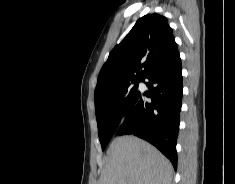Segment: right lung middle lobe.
<instances>
[{
	"instance_id": "dd1d6c3e",
	"label": "right lung middle lobe",
	"mask_w": 235,
	"mask_h": 184,
	"mask_svg": "<svg viewBox=\"0 0 235 184\" xmlns=\"http://www.w3.org/2000/svg\"><path fill=\"white\" fill-rule=\"evenodd\" d=\"M141 81L138 80L111 88L109 90L111 102L105 106L95 107L98 135L102 150L106 148L108 142L115 134L119 119L126 114L129 106L139 94L138 83Z\"/></svg>"
}]
</instances>
